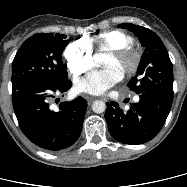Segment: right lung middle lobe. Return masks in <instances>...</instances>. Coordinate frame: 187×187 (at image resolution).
I'll return each mask as SVG.
<instances>
[{"label":"right lung middle lobe","mask_w":187,"mask_h":187,"mask_svg":"<svg viewBox=\"0 0 187 187\" xmlns=\"http://www.w3.org/2000/svg\"><path fill=\"white\" fill-rule=\"evenodd\" d=\"M68 43L63 34L38 33L28 38L12 63V90L24 83L66 81L61 55Z\"/></svg>","instance_id":"1"}]
</instances>
